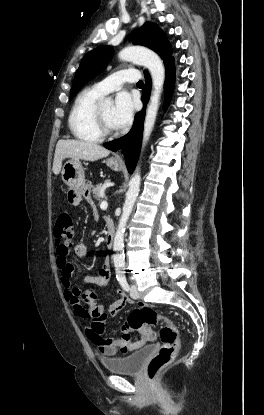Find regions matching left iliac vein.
Segmentation results:
<instances>
[{
  "instance_id": "1",
  "label": "left iliac vein",
  "mask_w": 264,
  "mask_h": 415,
  "mask_svg": "<svg viewBox=\"0 0 264 415\" xmlns=\"http://www.w3.org/2000/svg\"><path fill=\"white\" fill-rule=\"evenodd\" d=\"M130 296L133 299H138L139 298L138 288H137V286L135 284H132L131 285V288H130Z\"/></svg>"
}]
</instances>
